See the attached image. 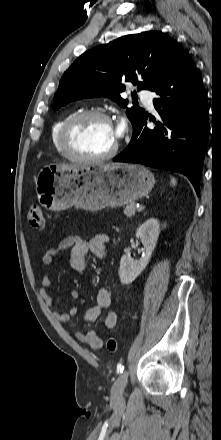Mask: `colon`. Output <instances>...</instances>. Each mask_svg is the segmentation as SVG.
I'll list each match as a JSON object with an SVG mask.
<instances>
[{
	"label": "colon",
	"instance_id": "1",
	"mask_svg": "<svg viewBox=\"0 0 221 440\" xmlns=\"http://www.w3.org/2000/svg\"><path fill=\"white\" fill-rule=\"evenodd\" d=\"M28 220L30 225L35 229H43L45 227L43 213L38 205H33L30 207L28 212ZM105 345L107 350L110 352H116L119 348L118 341L113 337L107 338Z\"/></svg>",
	"mask_w": 221,
	"mask_h": 440
}]
</instances>
